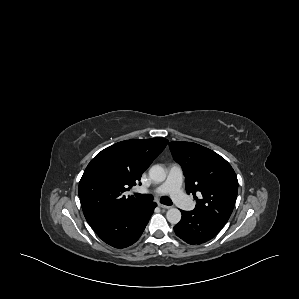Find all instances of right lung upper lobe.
<instances>
[{
    "instance_id": "1",
    "label": "right lung upper lobe",
    "mask_w": 299,
    "mask_h": 299,
    "mask_svg": "<svg viewBox=\"0 0 299 299\" xmlns=\"http://www.w3.org/2000/svg\"><path fill=\"white\" fill-rule=\"evenodd\" d=\"M165 138L125 140L102 150L86 167L78 193L89 224L142 202L123 193L163 151Z\"/></svg>"
}]
</instances>
